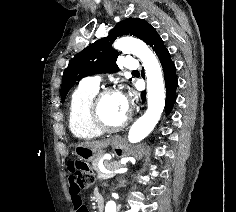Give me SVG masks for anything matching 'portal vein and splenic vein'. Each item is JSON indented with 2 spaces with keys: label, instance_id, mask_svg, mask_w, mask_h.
Here are the masks:
<instances>
[{
  "label": "portal vein and splenic vein",
  "instance_id": "obj_1",
  "mask_svg": "<svg viewBox=\"0 0 236 212\" xmlns=\"http://www.w3.org/2000/svg\"><path fill=\"white\" fill-rule=\"evenodd\" d=\"M118 173V170H106V169H103L102 170V178L103 179H106V178H109V177H112L114 176L115 174Z\"/></svg>",
  "mask_w": 236,
  "mask_h": 212
}]
</instances>
